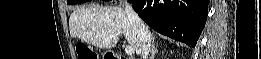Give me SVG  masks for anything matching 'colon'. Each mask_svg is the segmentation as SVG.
<instances>
[{
  "label": "colon",
  "mask_w": 261,
  "mask_h": 59,
  "mask_svg": "<svg viewBox=\"0 0 261 59\" xmlns=\"http://www.w3.org/2000/svg\"><path fill=\"white\" fill-rule=\"evenodd\" d=\"M79 59H97V54L86 45H79L77 48Z\"/></svg>",
  "instance_id": "5ec220e1"
}]
</instances>
